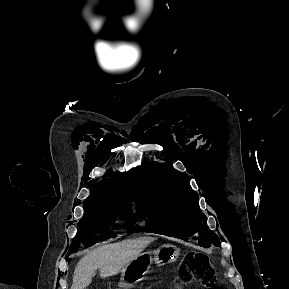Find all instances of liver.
I'll return each instance as SVG.
<instances>
[{
    "label": "liver",
    "instance_id": "1",
    "mask_svg": "<svg viewBox=\"0 0 289 289\" xmlns=\"http://www.w3.org/2000/svg\"><path fill=\"white\" fill-rule=\"evenodd\" d=\"M153 240L149 237L124 240L89 252L75 268L71 289H85L92 282L96 269L102 278L118 274Z\"/></svg>",
    "mask_w": 289,
    "mask_h": 289
}]
</instances>
